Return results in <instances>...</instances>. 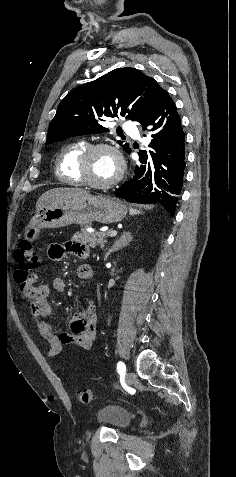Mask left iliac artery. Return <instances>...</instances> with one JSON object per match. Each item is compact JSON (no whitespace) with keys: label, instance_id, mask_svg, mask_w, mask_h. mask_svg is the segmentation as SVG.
<instances>
[{"label":"left iliac artery","instance_id":"44dca946","mask_svg":"<svg viewBox=\"0 0 236 477\" xmlns=\"http://www.w3.org/2000/svg\"><path fill=\"white\" fill-rule=\"evenodd\" d=\"M117 371H118V373H125L126 372V366L122 361H119L117 363Z\"/></svg>","mask_w":236,"mask_h":477}]
</instances>
